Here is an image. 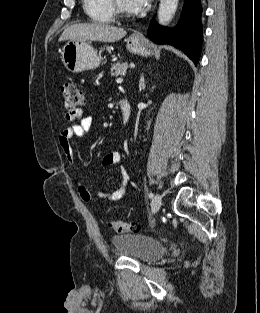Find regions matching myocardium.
<instances>
[{"instance_id":"1","label":"myocardium","mask_w":260,"mask_h":313,"mask_svg":"<svg viewBox=\"0 0 260 313\" xmlns=\"http://www.w3.org/2000/svg\"><path fill=\"white\" fill-rule=\"evenodd\" d=\"M109 5L112 10L113 15L120 18H128L130 17V13L124 11L118 4L117 0H109Z\"/></svg>"}]
</instances>
